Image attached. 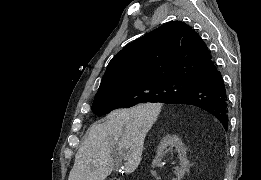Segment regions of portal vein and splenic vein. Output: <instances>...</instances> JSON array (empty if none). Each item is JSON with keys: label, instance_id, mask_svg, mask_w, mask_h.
<instances>
[{"label": "portal vein and splenic vein", "instance_id": "18ae733b", "mask_svg": "<svg viewBox=\"0 0 261 180\" xmlns=\"http://www.w3.org/2000/svg\"><path fill=\"white\" fill-rule=\"evenodd\" d=\"M125 150H128V148H123V154H124V156H126ZM123 154H122V156H123Z\"/></svg>", "mask_w": 261, "mask_h": 180}]
</instances>
